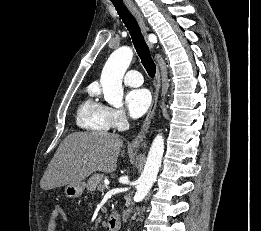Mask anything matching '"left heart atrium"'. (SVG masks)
<instances>
[{
    "instance_id": "obj_1",
    "label": "left heart atrium",
    "mask_w": 261,
    "mask_h": 231,
    "mask_svg": "<svg viewBox=\"0 0 261 231\" xmlns=\"http://www.w3.org/2000/svg\"><path fill=\"white\" fill-rule=\"evenodd\" d=\"M125 103L129 113L133 117H140L151 106V94L144 88L133 89L126 94Z\"/></svg>"
}]
</instances>
